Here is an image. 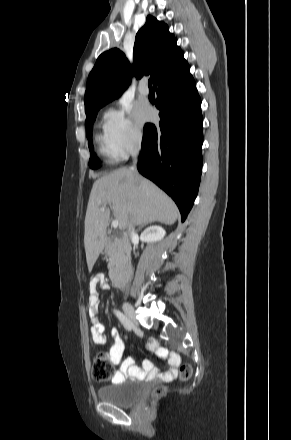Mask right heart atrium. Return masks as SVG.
<instances>
[{
	"label": "right heart atrium",
	"mask_w": 291,
	"mask_h": 440,
	"mask_svg": "<svg viewBox=\"0 0 291 440\" xmlns=\"http://www.w3.org/2000/svg\"><path fill=\"white\" fill-rule=\"evenodd\" d=\"M104 133L117 158L126 157L142 141V133L132 121L127 108L109 109L105 113Z\"/></svg>",
	"instance_id": "1"
}]
</instances>
